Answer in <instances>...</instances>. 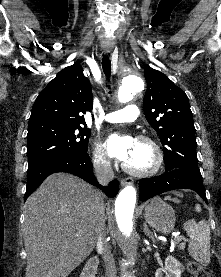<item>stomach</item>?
Returning <instances> with one entry per match:
<instances>
[{
    "mask_svg": "<svg viewBox=\"0 0 221 277\" xmlns=\"http://www.w3.org/2000/svg\"><path fill=\"white\" fill-rule=\"evenodd\" d=\"M146 222L157 231L169 233L174 229L175 212L173 208L160 198H154L145 207Z\"/></svg>",
    "mask_w": 221,
    "mask_h": 277,
    "instance_id": "stomach-1",
    "label": "stomach"
}]
</instances>
